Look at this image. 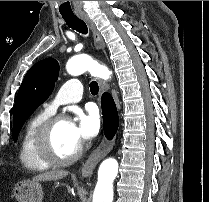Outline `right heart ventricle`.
Returning <instances> with one entry per match:
<instances>
[{
	"instance_id": "right-heart-ventricle-1",
	"label": "right heart ventricle",
	"mask_w": 209,
	"mask_h": 202,
	"mask_svg": "<svg viewBox=\"0 0 209 202\" xmlns=\"http://www.w3.org/2000/svg\"><path fill=\"white\" fill-rule=\"evenodd\" d=\"M48 111H42L31 117L25 124L20 140L19 159L24 167L32 171H42L49 165L42 161L34 150V139L40 125L50 117Z\"/></svg>"
}]
</instances>
